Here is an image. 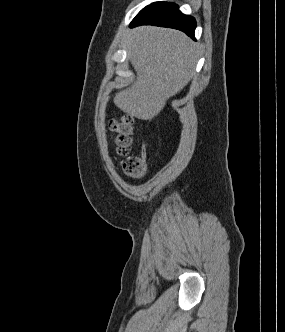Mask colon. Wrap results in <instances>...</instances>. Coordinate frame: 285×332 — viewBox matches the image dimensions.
<instances>
[{
	"instance_id": "5ec220e1",
	"label": "colon",
	"mask_w": 285,
	"mask_h": 332,
	"mask_svg": "<svg viewBox=\"0 0 285 332\" xmlns=\"http://www.w3.org/2000/svg\"><path fill=\"white\" fill-rule=\"evenodd\" d=\"M134 118L130 115L114 117L110 120L109 128L116 153L123 157V171L132 178H140L146 171V162L142 156H127L132 144Z\"/></svg>"
}]
</instances>
